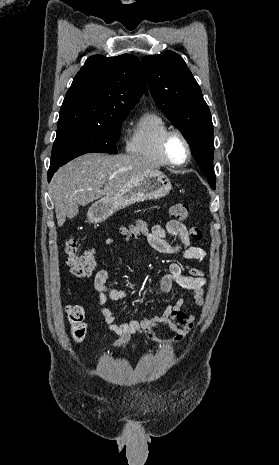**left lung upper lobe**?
Wrapping results in <instances>:
<instances>
[{"mask_svg": "<svg viewBox=\"0 0 279 465\" xmlns=\"http://www.w3.org/2000/svg\"><path fill=\"white\" fill-rule=\"evenodd\" d=\"M142 64L156 105L184 135L201 171L215 189L212 118L191 71L180 55L169 50L145 56Z\"/></svg>", "mask_w": 279, "mask_h": 465, "instance_id": "left-lung-upper-lobe-1", "label": "left lung upper lobe"}]
</instances>
